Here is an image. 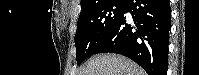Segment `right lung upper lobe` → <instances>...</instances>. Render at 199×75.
I'll return each instance as SVG.
<instances>
[{
    "label": "right lung upper lobe",
    "instance_id": "obj_1",
    "mask_svg": "<svg viewBox=\"0 0 199 75\" xmlns=\"http://www.w3.org/2000/svg\"><path fill=\"white\" fill-rule=\"evenodd\" d=\"M105 0H81V11L89 9Z\"/></svg>",
    "mask_w": 199,
    "mask_h": 75
}]
</instances>
